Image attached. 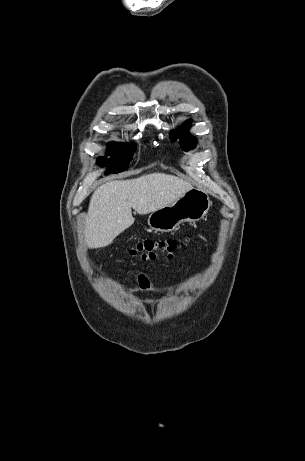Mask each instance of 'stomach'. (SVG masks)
Listing matches in <instances>:
<instances>
[{"label": "stomach", "mask_w": 305, "mask_h": 461, "mask_svg": "<svg viewBox=\"0 0 305 461\" xmlns=\"http://www.w3.org/2000/svg\"><path fill=\"white\" fill-rule=\"evenodd\" d=\"M211 206L208 194L191 189L172 204L150 213L148 225L158 232H171L182 222H195L203 218Z\"/></svg>", "instance_id": "stomach-1"}]
</instances>
